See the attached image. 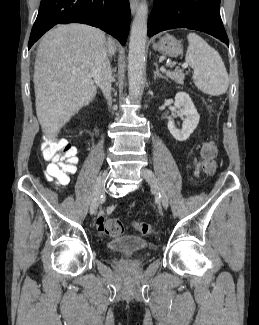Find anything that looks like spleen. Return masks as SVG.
I'll use <instances>...</instances> for the list:
<instances>
[{
  "mask_svg": "<svg viewBox=\"0 0 259 325\" xmlns=\"http://www.w3.org/2000/svg\"><path fill=\"white\" fill-rule=\"evenodd\" d=\"M186 62L193 68V81L202 92L219 96L229 86V77L219 53L195 33L187 35Z\"/></svg>",
  "mask_w": 259,
  "mask_h": 325,
  "instance_id": "obj_1",
  "label": "spleen"
}]
</instances>
